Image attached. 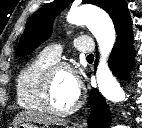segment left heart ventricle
<instances>
[{
  "mask_svg": "<svg viewBox=\"0 0 142 128\" xmlns=\"http://www.w3.org/2000/svg\"><path fill=\"white\" fill-rule=\"evenodd\" d=\"M52 102L58 109H67L76 101L78 88L71 79V72L59 70L52 83Z\"/></svg>",
  "mask_w": 142,
  "mask_h": 128,
  "instance_id": "left-heart-ventricle-1",
  "label": "left heart ventricle"
}]
</instances>
